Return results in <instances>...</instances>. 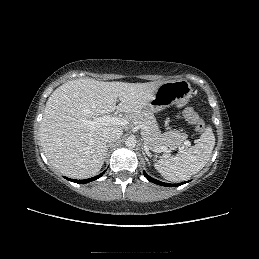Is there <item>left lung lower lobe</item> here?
<instances>
[{
  "label": "left lung lower lobe",
  "instance_id": "obj_1",
  "mask_svg": "<svg viewBox=\"0 0 259 259\" xmlns=\"http://www.w3.org/2000/svg\"><path fill=\"white\" fill-rule=\"evenodd\" d=\"M144 176L150 181L153 182L155 184L161 185V186H167V187H174V186H179L182 185L183 183H179V184H168V183H164L161 181H158L152 177H150L148 174H146L145 172H143Z\"/></svg>",
  "mask_w": 259,
  "mask_h": 259
}]
</instances>
